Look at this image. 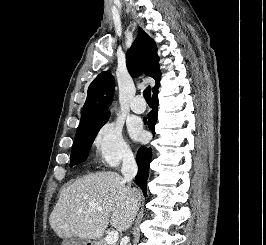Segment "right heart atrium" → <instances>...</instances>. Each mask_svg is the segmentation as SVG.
<instances>
[{
	"label": "right heart atrium",
	"instance_id": "1",
	"mask_svg": "<svg viewBox=\"0 0 266 245\" xmlns=\"http://www.w3.org/2000/svg\"><path fill=\"white\" fill-rule=\"evenodd\" d=\"M92 144L97 162L106 168H115L133 157L122 127L114 121L105 122L97 129Z\"/></svg>",
	"mask_w": 266,
	"mask_h": 245
}]
</instances>
